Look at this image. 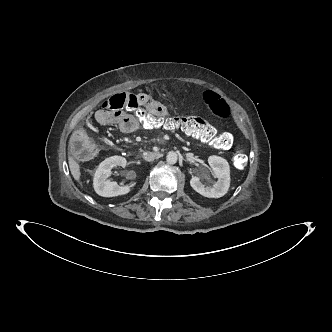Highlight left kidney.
<instances>
[{"instance_id":"5707ae66","label":"left kidney","mask_w":332,"mask_h":332,"mask_svg":"<svg viewBox=\"0 0 332 332\" xmlns=\"http://www.w3.org/2000/svg\"><path fill=\"white\" fill-rule=\"evenodd\" d=\"M208 163L211 167L212 172L218 178V181L213 185V187H205L200 179L193 176L190 180L191 187L208 198H220L224 196L230 185V167L228 162L219 156H210L208 158Z\"/></svg>"}]
</instances>
